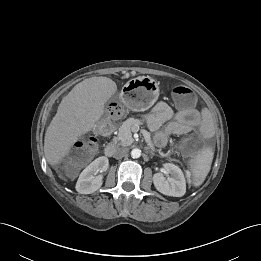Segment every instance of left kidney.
Wrapping results in <instances>:
<instances>
[{"instance_id":"left-kidney-1","label":"left kidney","mask_w":261,"mask_h":261,"mask_svg":"<svg viewBox=\"0 0 261 261\" xmlns=\"http://www.w3.org/2000/svg\"><path fill=\"white\" fill-rule=\"evenodd\" d=\"M163 166L168 178L162 173H155L153 175L155 188L164 195L182 197L186 193V180L182 170L172 163H165Z\"/></svg>"}]
</instances>
